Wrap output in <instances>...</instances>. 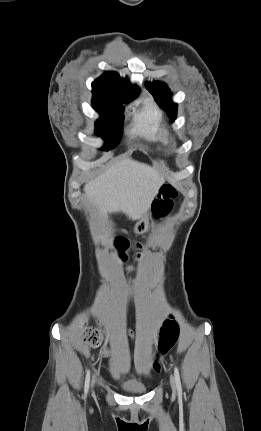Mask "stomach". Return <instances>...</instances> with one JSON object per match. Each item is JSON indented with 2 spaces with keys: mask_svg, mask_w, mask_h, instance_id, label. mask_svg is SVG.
<instances>
[{
  "mask_svg": "<svg viewBox=\"0 0 261 431\" xmlns=\"http://www.w3.org/2000/svg\"><path fill=\"white\" fill-rule=\"evenodd\" d=\"M148 229V221L146 217H141L134 227L136 234H143Z\"/></svg>",
  "mask_w": 261,
  "mask_h": 431,
  "instance_id": "1",
  "label": "stomach"
}]
</instances>
